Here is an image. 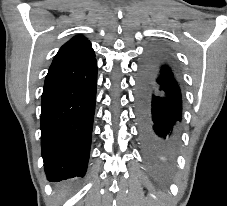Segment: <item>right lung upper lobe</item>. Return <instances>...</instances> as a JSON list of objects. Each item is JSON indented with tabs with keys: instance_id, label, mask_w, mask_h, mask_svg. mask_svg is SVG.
I'll use <instances>...</instances> for the list:
<instances>
[{
	"instance_id": "1",
	"label": "right lung upper lobe",
	"mask_w": 227,
	"mask_h": 206,
	"mask_svg": "<svg viewBox=\"0 0 227 206\" xmlns=\"http://www.w3.org/2000/svg\"><path fill=\"white\" fill-rule=\"evenodd\" d=\"M94 56L95 54L91 47L90 41H88L82 35H78L72 38L70 41H68L61 47V49L54 57L49 70L70 63L87 60Z\"/></svg>"
}]
</instances>
